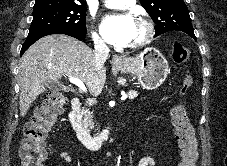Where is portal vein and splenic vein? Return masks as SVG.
<instances>
[{
  "label": "portal vein and splenic vein",
  "mask_w": 227,
  "mask_h": 166,
  "mask_svg": "<svg viewBox=\"0 0 227 166\" xmlns=\"http://www.w3.org/2000/svg\"><path fill=\"white\" fill-rule=\"evenodd\" d=\"M69 81H70V83L76 85L81 91L87 92V89H86L84 83L80 79L69 77ZM126 99H127V95H123L121 97V100H126Z\"/></svg>",
  "instance_id": "18ae733b"
}]
</instances>
